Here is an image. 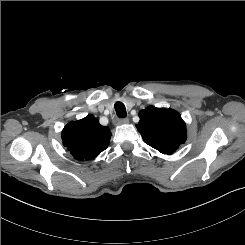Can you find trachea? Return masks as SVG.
Returning a JSON list of instances; mask_svg holds the SVG:
<instances>
[{
	"label": "trachea",
	"instance_id": "trachea-1",
	"mask_svg": "<svg viewBox=\"0 0 245 245\" xmlns=\"http://www.w3.org/2000/svg\"><path fill=\"white\" fill-rule=\"evenodd\" d=\"M114 108H115V111L118 117H121V118L126 117L127 115L126 108L122 102H116L114 105Z\"/></svg>",
	"mask_w": 245,
	"mask_h": 245
}]
</instances>
